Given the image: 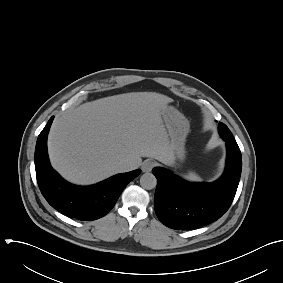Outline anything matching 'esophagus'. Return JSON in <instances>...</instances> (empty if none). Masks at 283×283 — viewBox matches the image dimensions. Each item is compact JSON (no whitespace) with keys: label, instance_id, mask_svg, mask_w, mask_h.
Listing matches in <instances>:
<instances>
[{"label":"esophagus","instance_id":"esophagus-1","mask_svg":"<svg viewBox=\"0 0 283 283\" xmlns=\"http://www.w3.org/2000/svg\"><path fill=\"white\" fill-rule=\"evenodd\" d=\"M154 166H155L154 161L146 160V161L143 162L141 169H142L143 172H150L153 169Z\"/></svg>","mask_w":283,"mask_h":283}]
</instances>
